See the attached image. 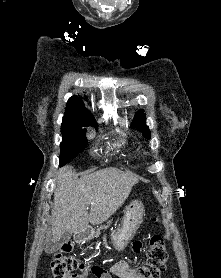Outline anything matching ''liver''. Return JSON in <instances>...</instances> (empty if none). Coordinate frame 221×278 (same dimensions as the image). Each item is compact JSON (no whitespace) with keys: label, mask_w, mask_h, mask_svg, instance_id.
Instances as JSON below:
<instances>
[{"label":"liver","mask_w":221,"mask_h":278,"mask_svg":"<svg viewBox=\"0 0 221 278\" xmlns=\"http://www.w3.org/2000/svg\"><path fill=\"white\" fill-rule=\"evenodd\" d=\"M138 177L116 168H106L77 178L71 167L58 172L52 206V243L66 233L84 232L101 224L128 198ZM90 207V212H88Z\"/></svg>","instance_id":"liver-1"}]
</instances>
